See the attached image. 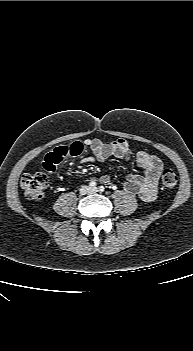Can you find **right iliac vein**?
<instances>
[{
  "instance_id": "obj_1",
  "label": "right iliac vein",
  "mask_w": 193,
  "mask_h": 351,
  "mask_svg": "<svg viewBox=\"0 0 193 351\" xmlns=\"http://www.w3.org/2000/svg\"><path fill=\"white\" fill-rule=\"evenodd\" d=\"M90 192H91V189L88 186H83L80 189V194L82 195L89 194Z\"/></svg>"
}]
</instances>
